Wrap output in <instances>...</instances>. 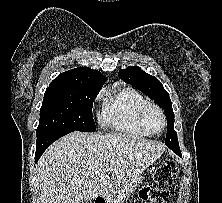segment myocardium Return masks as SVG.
Listing matches in <instances>:
<instances>
[{"label":"myocardium","mask_w":222,"mask_h":203,"mask_svg":"<svg viewBox=\"0 0 222 203\" xmlns=\"http://www.w3.org/2000/svg\"><path fill=\"white\" fill-rule=\"evenodd\" d=\"M150 110H156L161 118H162V121H163V126H162V129L160 131H154L151 129V127L149 126L148 124V121H147V115H148V112ZM139 119H140V122L142 124V126L150 133V134H153V135H158L160 133H162L165 128H166V124H167V120H166V116L162 110V108L160 106H158L157 104L155 103H146L141 109H140V112H139Z\"/></svg>","instance_id":"1"}]
</instances>
